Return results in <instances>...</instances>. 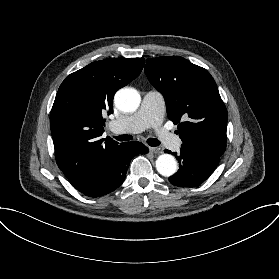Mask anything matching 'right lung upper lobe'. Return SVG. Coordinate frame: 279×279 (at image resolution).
I'll return each mask as SVG.
<instances>
[{"label": "right lung upper lobe", "mask_w": 279, "mask_h": 279, "mask_svg": "<svg viewBox=\"0 0 279 279\" xmlns=\"http://www.w3.org/2000/svg\"><path fill=\"white\" fill-rule=\"evenodd\" d=\"M144 58L95 61L70 74L60 85L50 115L58 167L78 191L109 167L121 146L100 138L104 111L113 112L115 92L135 79Z\"/></svg>", "instance_id": "cb5924a9"}]
</instances>
